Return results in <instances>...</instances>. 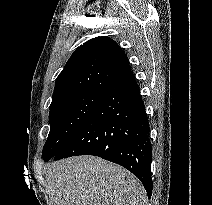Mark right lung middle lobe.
<instances>
[{
	"instance_id": "1",
	"label": "right lung middle lobe",
	"mask_w": 212,
	"mask_h": 205,
	"mask_svg": "<svg viewBox=\"0 0 212 205\" xmlns=\"http://www.w3.org/2000/svg\"><path fill=\"white\" fill-rule=\"evenodd\" d=\"M102 93L65 101L50 109V132L44 145V160L53 158L72 138L98 105Z\"/></svg>"
}]
</instances>
